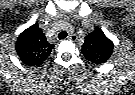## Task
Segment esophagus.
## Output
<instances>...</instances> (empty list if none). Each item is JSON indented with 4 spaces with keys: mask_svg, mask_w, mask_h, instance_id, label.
Masks as SVG:
<instances>
[{
    "mask_svg": "<svg viewBox=\"0 0 135 95\" xmlns=\"http://www.w3.org/2000/svg\"><path fill=\"white\" fill-rule=\"evenodd\" d=\"M77 38H78L77 35L72 34V35L68 36V37L66 38V40H68V41H76Z\"/></svg>",
    "mask_w": 135,
    "mask_h": 95,
    "instance_id": "obj_1",
    "label": "esophagus"
}]
</instances>
